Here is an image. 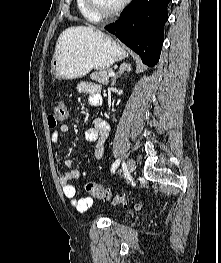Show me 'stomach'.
<instances>
[{"label": "stomach", "mask_w": 221, "mask_h": 263, "mask_svg": "<svg viewBox=\"0 0 221 263\" xmlns=\"http://www.w3.org/2000/svg\"><path fill=\"white\" fill-rule=\"evenodd\" d=\"M125 57L126 52L109 35L73 27L65 30L57 41L51 74L58 79H77L92 69L106 70Z\"/></svg>", "instance_id": "1"}]
</instances>
